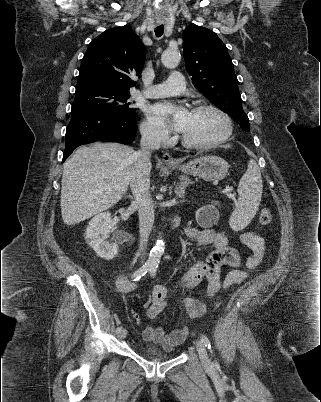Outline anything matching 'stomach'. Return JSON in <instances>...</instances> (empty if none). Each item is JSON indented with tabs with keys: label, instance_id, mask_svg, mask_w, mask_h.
I'll return each instance as SVG.
<instances>
[{
	"label": "stomach",
	"instance_id": "1",
	"mask_svg": "<svg viewBox=\"0 0 321 402\" xmlns=\"http://www.w3.org/2000/svg\"><path fill=\"white\" fill-rule=\"evenodd\" d=\"M172 168H176L172 166ZM183 173L199 176L205 180H221L229 169L228 163L221 157L206 155L197 157L178 167Z\"/></svg>",
	"mask_w": 321,
	"mask_h": 402
}]
</instances>
